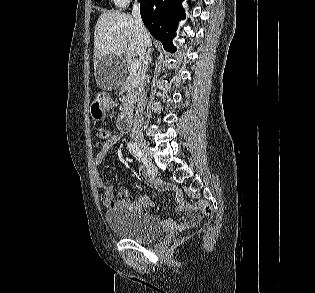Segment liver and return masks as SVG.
Wrapping results in <instances>:
<instances>
[{"instance_id":"obj_1","label":"liver","mask_w":315,"mask_h":293,"mask_svg":"<svg viewBox=\"0 0 315 293\" xmlns=\"http://www.w3.org/2000/svg\"><path fill=\"white\" fill-rule=\"evenodd\" d=\"M145 47H152V37L145 29ZM113 54L128 59L139 55L133 16L120 12H105L100 15L94 32V58L100 61Z\"/></svg>"}]
</instances>
